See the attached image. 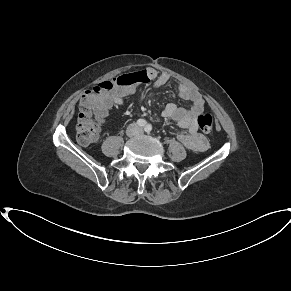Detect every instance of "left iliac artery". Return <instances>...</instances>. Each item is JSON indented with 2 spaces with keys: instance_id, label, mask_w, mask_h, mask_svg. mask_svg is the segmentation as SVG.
Listing matches in <instances>:
<instances>
[{
  "instance_id": "left-iliac-artery-1",
  "label": "left iliac artery",
  "mask_w": 291,
  "mask_h": 291,
  "mask_svg": "<svg viewBox=\"0 0 291 291\" xmlns=\"http://www.w3.org/2000/svg\"><path fill=\"white\" fill-rule=\"evenodd\" d=\"M144 130L147 132V133H150L151 130H152V126L150 124H147L144 128Z\"/></svg>"
}]
</instances>
